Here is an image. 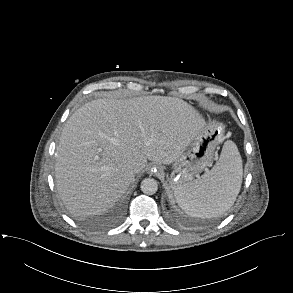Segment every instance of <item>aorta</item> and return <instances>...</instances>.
I'll list each match as a JSON object with an SVG mask.
<instances>
[{"label": "aorta", "instance_id": "obj_1", "mask_svg": "<svg viewBox=\"0 0 293 293\" xmlns=\"http://www.w3.org/2000/svg\"><path fill=\"white\" fill-rule=\"evenodd\" d=\"M141 190L144 194L147 195H153L157 192L158 190V184L157 181L153 178H145L141 182Z\"/></svg>", "mask_w": 293, "mask_h": 293}]
</instances>
